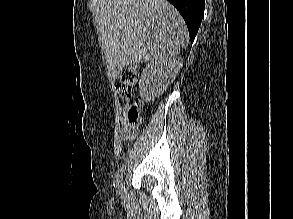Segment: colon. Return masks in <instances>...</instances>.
Listing matches in <instances>:
<instances>
[{
    "mask_svg": "<svg viewBox=\"0 0 293 219\" xmlns=\"http://www.w3.org/2000/svg\"><path fill=\"white\" fill-rule=\"evenodd\" d=\"M139 81V72L135 67H129L122 71L119 80L116 84L118 94L124 98H129L133 95L134 90ZM142 103L139 100L131 101L123 111V123L131 126L133 129H138L141 125L140 110Z\"/></svg>",
    "mask_w": 293,
    "mask_h": 219,
    "instance_id": "obj_1",
    "label": "colon"
}]
</instances>
